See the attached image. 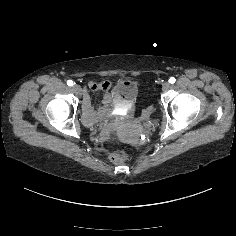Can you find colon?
<instances>
[{"instance_id": "5ec220e1", "label": "colon", "mask_w": 236, "mask_h": 236, "mask_svg": "<svg viewBox=\"0 0 236 236\" xmlns=\"http://www.w3.org/2000/svg\"><path fill=\"white\" fill-rule=\"evenodd\" d=\"M109 138L115 143L119 142V134L116 129L110 131ZM111 160L115 164H123L127 160V153L124 150L116 151L111 155Z\"/></svg>"}]
</instances>
